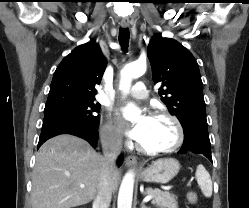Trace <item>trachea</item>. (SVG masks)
Wrapping results in <instances>:
<instances>
[{"label": "trachea", "instance_id": "1", "mask_svg": "<svg viewBox=\"0 0 249 208\" xmlns=\"http://www.w3.org/2000/svg\"><path fill=\"white\" fill-rule=\"evenodd\" d=\"M130 33L128 28H120L119 30V42L123 50H127L129 43Z\"/></svg>", "mask_w": 249, "mask_h": 208}]
</instances>
